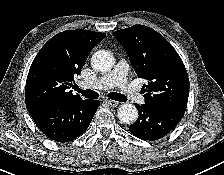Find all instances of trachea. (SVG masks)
Here are the masks:
<instances>
[{
    "label": "trachea",
    "instance_id": "obj_1",
    "mask_svg": "<svg viewBox=\"0 0 224 175\" xmlns=\"http://www.w3.org/2000/svg\"><path fill=\"white\" fill-rule=\"evenodd\" d=\"M75 90L79 93L82 94V96H84L85 98H88V99H97L99 97V94L93 90H81L79 87H75ZM108 97L112 100H115V101H119V102H125L127 101V98L120 94V93H116V92H111L108 94Z\"/></svg>",
    "mask_w": 224,
    "mask_h": 175
}]
</instances>
